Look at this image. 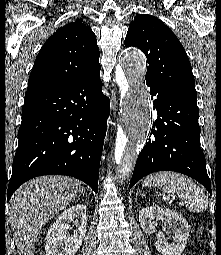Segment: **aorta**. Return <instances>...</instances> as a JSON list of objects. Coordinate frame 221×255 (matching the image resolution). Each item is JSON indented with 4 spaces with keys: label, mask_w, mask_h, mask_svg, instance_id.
<instances>
[{
    "label": "aorta",
    "mask_w": 221,
    "mask_h": 255,
    "mask_svg": "<svg viewBox=\"0 0 221 255\" xmlns=\"http://www.w3.org/2000/svg\"><path fill=\"white\" fill-rule=\"evenodd\" d=\"M146 58L137 49H128L121 58L116 81L123 98V134L117 140L115 162L118 178L132 172L151 123L150 101L145 88Z\"/></svg>",
    "instance_id": "762f6f07"
}]
</instances>
